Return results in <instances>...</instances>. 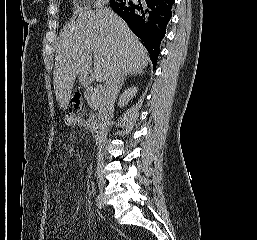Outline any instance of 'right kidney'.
Wrapping results in <instances>:
<instances>
[{"mask_svg":"<svg viewBox=\"0 0 257 240\" xmlns=\"http://www.w3.org/2000/svg\"><path fill=\"white\" fill-rule=\"evenodd\" d=\"M137 87H130L123 92V94L119 98V106L124 107L128 101L135 96L137 93Z\"/></svg>","mask_w":257,"mask_h":240,"instance_id":"1","label":"right kidney"}]
</instances>
